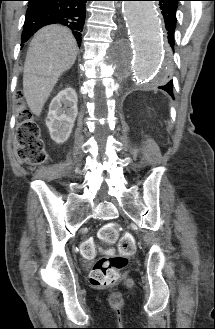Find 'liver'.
<instances>
[{
    "label": "liver",
    "mask_w": 215,
    "mask_h": 329,
    "mask_svg": "<svg viewBox=\"0 0 215 329\" xmlns=\"http://www.w3.org/2000/svg\"><path fill=\"white\" fill-rule=\"evenodd\" d=\"M77 52L73 34L61 25L43 27L34 35L23 71L24 97L33 114H41L59 77L74 64Z\"/></svg>",
    "instance_id": "1"
}]
</instances>
